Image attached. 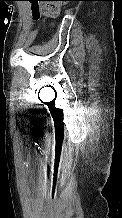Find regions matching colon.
Here are the masks:
<instances>
[{
  "label": "colon",
  "mask_w": 122,
  "mask_h": 218,
  "mask_svg": "<svg viewBox=\"0 0 122 218\" xmlns=\"http://www.w3.org/2000/svg\"><path fill=\"white\" fill-rule=\"evenodd\" d=\"M66 0H31L35 5L39 4L40 6H34L32 8V16L34 19H38L40 16L46 18H55L61 10L62 4Z\"/></svg>",
  "instance_id": "1"
}]
</instances>
